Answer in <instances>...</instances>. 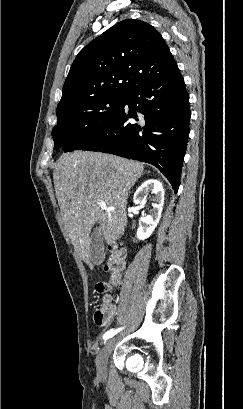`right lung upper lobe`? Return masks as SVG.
<instances>
[{"label":"right lung upper lobe","instance_id":"right-lung-upper-lobe-1","mask_svg":"<svg viewBox=\"0 0 243 409\" xmlns=\"http://www.w3.org/2000/svg\"><path fill=\"white\" fill-rule=\"evenodd\" d=\"M177 69L168 46L153 26L136 19L123 20L78 53L57 110L100 96H126L138 85Z\"/></svg>","mask_w":243,"mask_h":409}]
</instances>
